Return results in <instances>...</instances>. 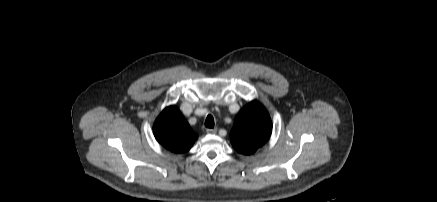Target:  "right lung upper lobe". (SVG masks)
<instances>
[{
	"instance_id": "1",
	"label": "right lung upper lobe",
	"mask_w": 437,
	"mask_h": 202,
	"mask_svg": "<svg viewBox=\"0 0 437 202\" xmlns=\"http://www.w3.org/2000/svg\"><path fill=\"white\" fill-rule=\"evenodd\" d=\"M153 132L156 140L174 153L187 152L197 139L176 106L166 107L156 119Z\"/></svg>"
}]
</instances>
